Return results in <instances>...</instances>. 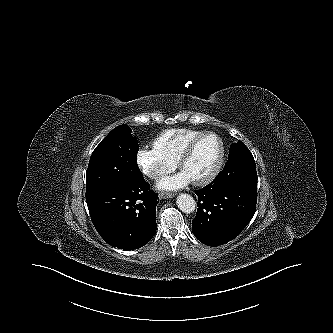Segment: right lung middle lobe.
I'll return each mask as SVG.
<instances>
[{
  "label": "right lung middle lobe",
  "mask_w": 333,
  "mask_h": 333,
  "mask_svg": "<svg viewBox=\"0 0 333 333\" xmlns=\"http://www.w3.org/2000/svg\"><path fill=\"white\" fill-rule=\"evenodd\" d=\"M138 142L128 125L114 128L93 151L86 171V197L143 177Z\"/></svg>",
  "instance_id": "dd1d6c3e"
}]
</instances>
